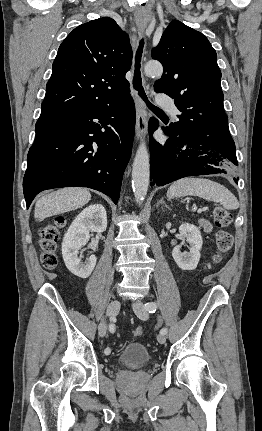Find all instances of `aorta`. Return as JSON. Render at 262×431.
I'll use <instances>...</instances> for the list:
<instances>
[{
	"label": "aorta",
	"instance_id": "aorta-1",
	"mask_svg": "<svg viewBox=\"0 0 262 431\" xmlns=\"http://www.w3.org/2000/svg\"><path fill=\"white\" fill-rule=\"evenodd\" d=\"M146 75L159 77L163 73V67L159 62H149L145 65ZM150 175L149 153L146 144L142 142L136 152L132 165V188L136 202L141 204L148 191Z\"/></svg>",
	"mask_w": 262,
	"mask_h": 431
}]
</instances>
